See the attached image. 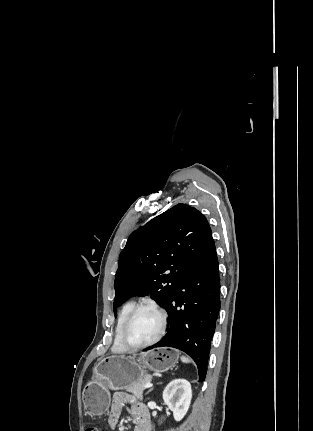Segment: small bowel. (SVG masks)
Here are the masks:
<instances>
[{"mask_svg": "<svg viewBox=\"0 0 313 431\" xmlns=\"http://www.w3.org/2000/svg\"><path fill=\"white\" fill-rule=\"evenodd\" d=\"M131 399L124 393H116L113 397L111 413L109 417V424L114 427L120 417L122 408L126 403L130 402ZM131 412L136 421L135 431H149L150 430V418L146 409L139 403L133 402L131 405Z\"/></svg>", "mask_w": 313, "mask_h": 431, "instance_id": "obj_1", "label": "small bowel"}]
</instances>
